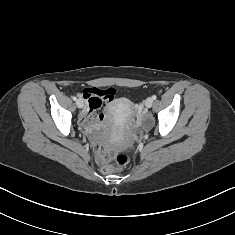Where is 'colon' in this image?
<instances>
[{"label": "colon", "mask_w": 235, "mask_h": 235, "mask_svg": "<svg viewBox=\"0 0 235 235\" xmlns=\"http://www.w3.org/2000/svg\"><path fill=\"white\" fill-rule=\"evenodd\" d=\"M114 94H115V91L112 88L105 89L101 93V95L104 98H111L114 96ZM95 156H96L97 162L101 165V170L104 173H112L116 169H122L126 167L129 162V158L126 154L119 153L114 156L115 164H111L110 163L112 159L111 153L108 150L101 148V147H97L95 149Z\"/></svg>", "instance_id": "obj_1"}]
</instances>
